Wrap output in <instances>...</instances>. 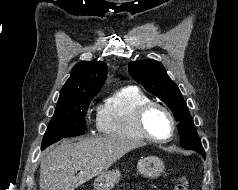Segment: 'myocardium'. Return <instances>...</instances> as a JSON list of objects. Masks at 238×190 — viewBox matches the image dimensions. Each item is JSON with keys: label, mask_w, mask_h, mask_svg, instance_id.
Instances as JSON below:
<instances>
[{"label": "myocardium", "mask_w": 238, "mask_h": 190, "mask_svg": "<svg viewBox=\"0 0 238 190\" xmlns=\"http://www.w3.org/2000/svg\"><path fill=\"white\" fill-rule=\"evenodd\" d=\"M154 109H159L163 111L170 121V132L165 137H157L153 135L147 128L146 124L147 116ZM136 124L139 131L146 139L158 143L169 141L173 137L176 129V121L172 112L165 105L154 101H149L138 109L136 113Z\"/></svg>", "instance_id": "f54148a6"}]
</instances>
